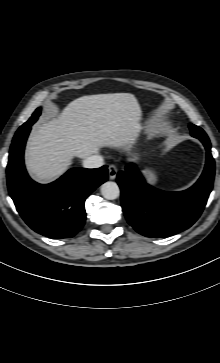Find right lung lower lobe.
I'll list each match as a JSON object with an SVG mask.
<instances>
[{
	"label": "right lung lower lobe",
	"mask_w": 220,
	"mask_h": 363,
	"mask_svg": "<svg viewBox=\"0 0 220 363\" xmlns=\"http://www.w3.org/2000/svg\"><path fill=\"white\" fill-rule=\"evenodd\" d=\"M31 126L16 132L12 141L7 165L9 194L21 217L34 231L50 238L73 237L85 223V199L108 179L107 166L73 168L50 184L34 182L23 161Z\"/></svg>",
	"instance_id": "right-lung-lower-lobe-1"
}]
</instances>
